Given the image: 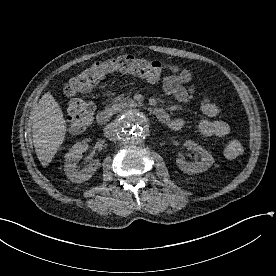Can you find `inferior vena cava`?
<instances>
[{
	"label": "inferior vena cava",
	"mask_w": 276,
	"mask_h": 276,
	"mask_svg": "<svg viewBox=\"0 0 276 276\" xmlns=\"http://www.w3.org/2000/svg\"><path fill=\"white\" fill-rule=\"evenodd\" d=\"M115 129H116V124L115 123H110L108 124L105 129H104V134L108 138H114L115 137Z\"/></svg>",
	"instance_id": "1"
}]
</instances>
